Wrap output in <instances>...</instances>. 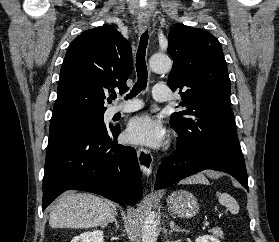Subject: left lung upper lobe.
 I'll return each instance as SVG.
<instances>
[{
  "label": "left lung upper lobe",
  "instance_id": "left-lung-upper-lobe-1",
  "mask_svg": "<svg viewBox=\"0 0 279 242\" xmlns=\"http://www.w3.org/2000/svg\"><path fill=\"white\" fill-rule=\"evenodd\" d=\"M173 68L168 85L179 91L183 111L170 117L183 149L205 146L241 152L230 107V79L219 41L209 32L176 26L168 36Z\"/></svg>",
  "mask_w": 279,
  "mask_h": 242
}]
</instances>
